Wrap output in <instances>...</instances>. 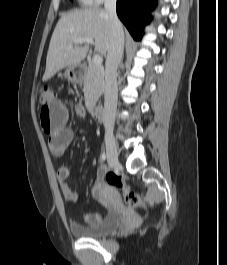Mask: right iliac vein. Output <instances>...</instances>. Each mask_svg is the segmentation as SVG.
I'll use <instances>...</instances> for the list:
<instances>
[{
  "label": "right iliac vein",
  "instance_id": "obj_1",
  "mask_svg": "<svg viewBox=\"0 0 227 265\" xmlns=\"http://www.w3.org/2000/svg\"><path fill=\"white\" fill-rule=\"evenodd\" d=\"M106 154L109 166L116 168L118 166V154L114 138L111 134L105 136Z\"/></svg>",
  "mask_w": 227,
  "mask_h": 265
}]
</instances>
